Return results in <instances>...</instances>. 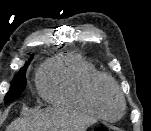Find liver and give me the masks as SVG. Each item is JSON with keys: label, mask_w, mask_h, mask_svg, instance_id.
Listing matches in <instances>:
<instances>
[{"label": "liver", "mask_w": 151, "mask_h": 131, "mask_svg": "<svg viewBox=\"0 0 151 131\" xmlns=\"http://www.w3.org/2000/svg\"><path fill=\"white\" fill-rule=\"evenodd\" d=\"M96 119L66 109H46L14 120L6 131H85Z\"/></svg>", "instance_id": "6515ba94"}]
</instances>
